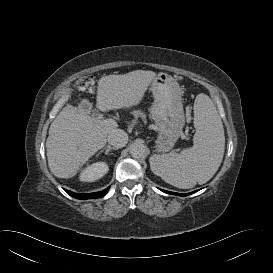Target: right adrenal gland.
Returning <instances> with one entry per match:
<instances>
[{
    "label": "right adrenal gland",
    "mask_w": 273,
    "mask_h": 273,
    "mask_svg": "<svg viewBox=\"0 0 273 273\" xmlns=\"http://www.w3.org/2000/svg\"><path fill=\"white\" fill-rule=\"evenodd\" d=\"M111 150H117V148L115 147H111V146H106L103 150H101L97 156H99L102 152L105 151V154L107 155Z\"/></svg>",
    "instance_id": "2a0ac1e0"
}]
</instances>
